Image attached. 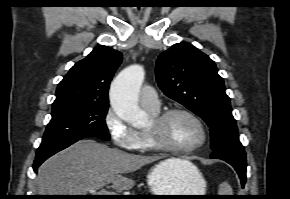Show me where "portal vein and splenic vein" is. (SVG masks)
Segmentation results:
<instances>
[{
  "instance_id": "obj_1",
  "label": "portal vein and splenic vein",
  "mask_w": 290,
  "mask_h": 199,
  "mask_svg": "<svg viewBox=\"0 0 290 199\" xmlns=\"http://www.w3.org/2000/svg\"><path fill=\"white\" fill-rule=\"evenodd\" d=\"M90 192L94 195H114L113 192L107 191L106 189L102 188L101 190H99L98 192H96L95 190H90Z\"/></svg>"
}]
</instances>
